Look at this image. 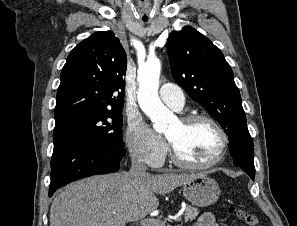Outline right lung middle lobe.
I'll return each mask as SVG.
<instances>
[{"mask_svg": "<svg viewBox=\"0 0 297 226\" xmlns=\"http://www.w3.org/2000/svg\"><path fill=\"white\" fill-rule=\"evenodd\" d=\"M122 110L84 111L56 120L53 138L74 135L124 148Z\"/></svg>", "mask_w": 297, "mask_h": 226, "instance_id": "dd1d6c3e", "label": "right lung middle lobe"}]
</instances>
